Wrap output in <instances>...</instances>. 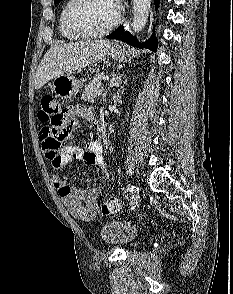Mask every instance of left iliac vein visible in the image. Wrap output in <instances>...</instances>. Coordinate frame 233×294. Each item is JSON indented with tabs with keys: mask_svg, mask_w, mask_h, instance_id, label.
Instances as JSON below:
<instances>
[{
	"mask_svg": "<svg viewBox=\"0 0 233 294\" xmlns=\"http://www.w3.org/2000/svg\"><path fill=\"white\" fill-rule=\"evenodd\" d=\"M141 194L139 191L134 192V196L132 197V201H130V208L129 211L133 212L134 209L137 208V202H140Z\"/></svg>",
	"mask_w": 233,
	"mask_h": 294,
	"instance_id": "left-iliac-vein-1",
	"label": "left iliac vein"
}]
</instances>
